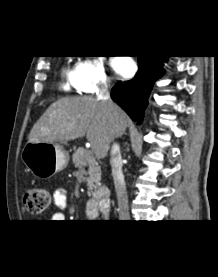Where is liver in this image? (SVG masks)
<instances>
[{
    "mask_svg": "<svg viewBox=\"0 0 218 277\" xmlns=\"http://www.w3.org/2000/svg\"><path fill=\"white\" fill-rule=\"evenodd\" d=\"M128 118L118 107L93 97L62 98L49 106L34 124L29 142L56 143L86 136L98 158L106 157L110 143L127 128Z\"/></svg>",
    "mask_w": 218,
    "mask_h": 277,
    "instance_id": "obj_1",
    "label": "liver"
}]
</instances>
